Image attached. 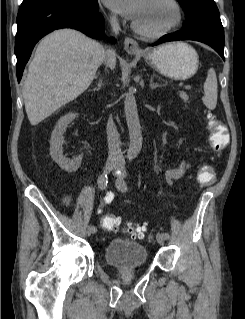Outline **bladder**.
Instances as JSON below:
<instances>
[{"label": "bladder", "instance_id": "bladder-1", "mask_svg": "<svg viewBox=\"0 0 245 319\" xmlns=\"http://www.w3.org/2000/svg\"><path fill=\"white\" fill-rule=\"evenodd\" d=\"M104 259L114 267L134 268L148 261V253L145 246L139 242L115 238L105 246Z\"/></svg>", "mask_w": 245, "mask_h": 319}]
</instances>
